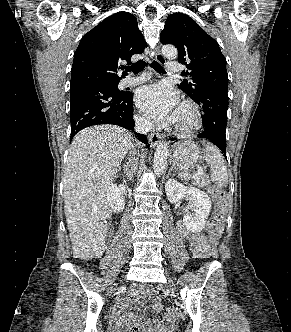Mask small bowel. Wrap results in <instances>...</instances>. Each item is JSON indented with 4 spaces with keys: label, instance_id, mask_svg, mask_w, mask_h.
Listing matches in <instances>:
<instances>
[{
    "label": "small bowel",
    "instance_id": "c3829d8e",
    "mask_svg": "<svg viewBox=\"0 0 291 332\" xmlns=\"http://www.w3.org/2000/svg\"><path fill=\"white\" fill-rule=\"evenodd\" d=\"M215 225L209 223L206 226V231L209 233L213 232ZM182 236L189 241V246L192 255L195 258H204L208 249L207 237L203 233H194L191 234L184 228L181 230ZM133 302L137 304H143L145 302H150L152 308L155 311H161L163 309L162 304L158 302L152 295L150 289L147 290H136L133 293ZM118 325H124L126 322L125 318L119 317V313H116ZM135 316H130L129 319H135ZM172 326V321L170 314H167L164 320H151L144 324V328L152 332H167Z\"/></svg>",
    "mask_w": 291,
    "mask_h": 332
}]
</instances>
